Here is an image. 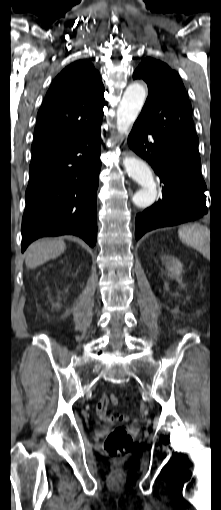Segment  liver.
I'll return each mask as SVG.
<instances>
[{
  "instance_id": "1",
  "label": "liver",
  "mask_w": 221,
  "mask_h": 510,
  "mask_svg": "<svg viewBox=\"0 0 221 510\" xmlns=\"http://www.w3.org/2000/svg\"><path fill=\"white\" fill-rule=\"evenodd\" d=\"M66 249L62 240L42 239L31 244L27 250L25 264L28 268H36L45 262L60 256Z\"/></svg>"
}]
</instances>
